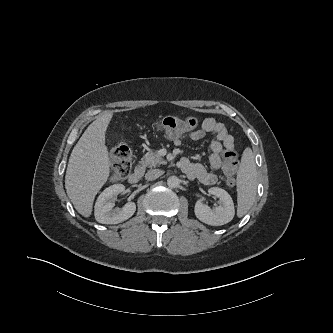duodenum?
I'll return each mask as SVG.
<instances>
[{"label": "duodenum", "mask_w": 333, "mask_h": 333, "mask_svg": "<svg viewBox=\"0 0 333 333\" xmlns=\"http://www.w3.org/2000/svg\"><path fill=\"white\" fill-rule=\"evenodd\" d=\"M144 173V167L139 166L137 167L134 172L129 176L128 181L130 184H137L140 179L142 178Z\"/></svg>", "instance_id": "410a0bca"}]
</instances>
